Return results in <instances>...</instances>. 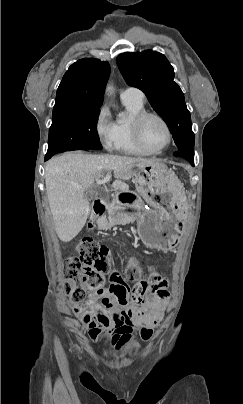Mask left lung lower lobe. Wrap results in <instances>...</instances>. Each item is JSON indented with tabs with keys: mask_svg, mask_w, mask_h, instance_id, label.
I'll list each match as a JSON object with an SVG mask.
<instances>
[{
	"mask_svg": "<svg viewBox=\"0 0 243 404\" xmlns=\"http://www.w3.org/2000/svg\"><path fill=\"white\" fill-rule=\"evenodd\" d=\"M173 155L186 159L188 162L191 163L192 166H194V152L184 151V150H176Z\"/></svg>",
	"mask_w": 243,
	"mask_h": 404,
	"instance_id": "obj_1",
	"label": "left lung lower lobe"
}]
</instances>
